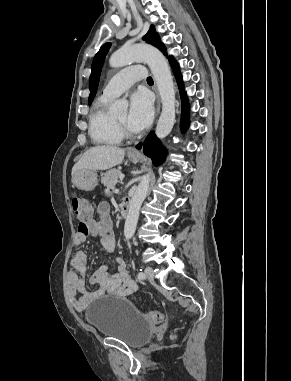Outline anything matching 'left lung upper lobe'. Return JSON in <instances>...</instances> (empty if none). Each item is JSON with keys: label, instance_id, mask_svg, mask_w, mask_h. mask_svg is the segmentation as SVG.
Wrapping results in <instances>:
<instances>
[{"label": "left lung upper lobe", "instance_id": "1", "mask_svg": "<svg viewBox=\"0 0 291 381\" xmlns=\"http://www.w3.org/2000/svg\"><path fill=\"white\" fill-rule=\"evenodd\" d=\"M143 40H145L148 43L152 44L153 46L157 47L165 55L167 54L166 53V47L160 41V37L156 33L153 25L150 27V30L147 32V34L143 37ZM110 46H111L110 43L104 44L94 57L92 67H91L92 72H91V75L89 78L90 95H89V99H88V104H90L92 102L93 98L96 95L98 84H99L101 68L103 66L105 56H106Z\"/></svg>", "mask_w": 291, "mask_h": 381}]
</instances>
